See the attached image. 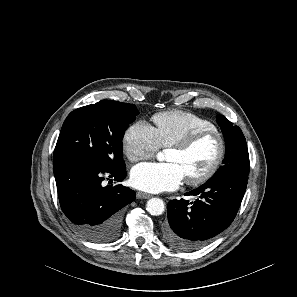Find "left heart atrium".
<instances>
[{"label": "left heart atrium", "instance_id": "1", "mask_svg": "<svg viewBox=\"0 0 297 297\" xmlns=\"http://www.w3.org/2000/svg\"><path fill=\"white\" fill-rule=\"evenodd\" d=\"M184 179V171L176 162L140 163L130 173V182L135 188L152 193L174 190Z\"/></svg>", "mask_w": 297, "mask_h": 297}]
</instances>
